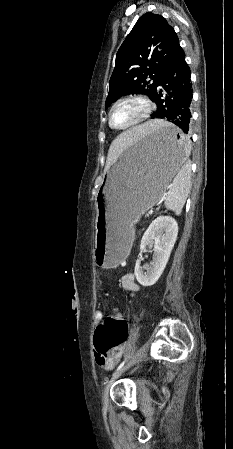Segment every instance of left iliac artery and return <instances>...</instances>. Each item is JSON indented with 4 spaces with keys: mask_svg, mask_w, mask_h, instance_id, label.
I'll return each instance as SVG.
<instances>
[{
    "mask_svg": "<svg viewBox=\"0 0 233 449\" xmlns=\"http://www.w3.org/2000/svg\"><path fill=\"white\" fill-rule=\"evenodd\" d=\"M126 360H127V359H125V360L122 361V363H121V364L119 365V367L117 368V371L120 370V369L124 366ZM117 371H116V372H117Z\"/></svg>",
    "mask_w": 233,
    "mask_h": 449,
    "instance_id": "obj_1",
    "label": "left iliac artery"
}]
</instances>
